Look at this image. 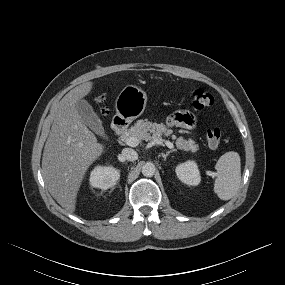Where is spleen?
<instances>
[{
	"instance_id": "obj_1",
	"label": "spleen",
	"mask_w": 285,
	"mask_h": 285,
	"mask_svg": "<svg viewBox=\"0 0 285 285\" xmlns=\"http://www.w3.org/2000/svg\"><path fill=\"white\" fill-rule=\"evenodd\" d=\"M214 192L221 200H230L237 193L241 183V163L237 152L223 154L215 165Z\"/></svg>"
}]
</instances>
